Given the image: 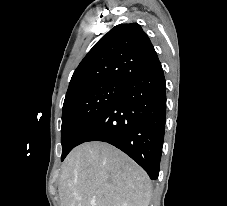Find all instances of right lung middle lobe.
I'll list each match as a JSON object with an SVG mask.
<instances>
[{
    "label": "right lung middle lobe",
    "mask_w": 227,
    "mask_h": 206,
    "mask_svg": "<svg viewBox=\"0 0 227 206\" xmlns=\"http://www.w3.org/2000/svg\"><path fill=\"white\" fill-rule=\"evenodd\" d=\"M124 86L123 81L110 80L65 97L61 127L62 161L78 145L87 129L122 94Z\"/></svg>",
    "instance_id": "1"
}]
</instances>
